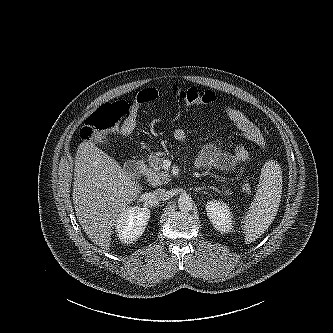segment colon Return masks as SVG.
I'll return each mask as SVG.
<instances>
[{
    "instance_id": "colon-1",
    "label": "colon",
    "mask_w": 333,
    "mask_h": 333,
    "mask_svg": "<svg viewBox=\"0 0 333 333\" xmlns=\"http://www.w3.org/2000/svg\"><path fill=\"white\" fill-rule=\"evenodd\" d=\"M173 94L188 105H212L217 102L216 95L198 87H173ZM158 98L155 88H146L139 91L133 103L121 100L105 103L92 113L81 130V137L85 140L102 139L109 132L121 134L131 133L136 126V118L140 107ZM243 189L252 191L251 182L243 181Z\"/></svg>"
}]
</instances>
